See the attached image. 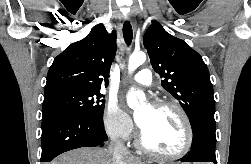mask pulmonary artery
Masks as SVG:
<instances>
[{
	"label": "pulmonary artery",
	"instance_id": "pulmonary-artery-1",
	"mask_svg": "<svg viewBox=\"0 0 251 164\" xmlns=\"http://www.w3.org/2000/svg\"><path fill=\"white\" fill-rule=\"evenodd\" d=\"M131 80L137 84L144 86H150L153 81L152 72L149 69H142L137 74H135Z\"/></svg>",
	"mask_w": 251,
	"mask_h": 164
}]
</instances>
